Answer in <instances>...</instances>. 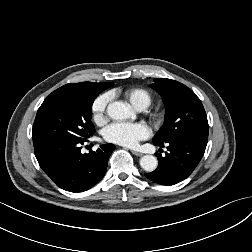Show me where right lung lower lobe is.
<instances>
[{
  "mask_svg": "<svg viewBox=\"0 0 252 252\" xmlns=\"http://www.w3.org/2000/svg\"><path fill=\"white\" fill-rule=\"evenodd\" d=\"M84 142L51 139L33 141L40 167L58 187L66 191H86L99 182L105 175L108 159L115 149L113 144H105L97 151L82 154L81 145Z\"/></svg>",
  "mask_w": 252,
  "mask_h": 252,
  "instance_id": "1",
  "label": "right lung lower lobe"
}]
</instances>
